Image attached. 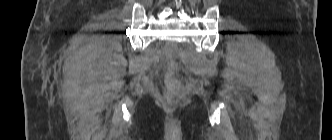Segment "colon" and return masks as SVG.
<instances>
[{"mask_svg":"<svg viewBox=\"0 0 332 140\" xmlns=\"http://www.w3.org/2000/svg\"><path fill=\"white\" fill-rule=\"evenodd\" d=\"M178 102V100L174 97V95H170L167 99H166V103L169 106H174L176 103Z\"/></svg>","mask_w":332,"mask_h":140,"instance_id":"1","label":"colon"}]
</instances>
